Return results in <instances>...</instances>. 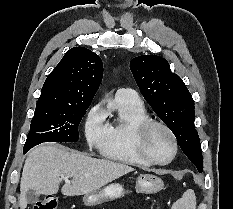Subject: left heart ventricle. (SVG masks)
<instances>
[{"instance_id": "b2bd125f", "label": "left heart ventricle", "mask_w": 233, "mask_h": 209, "mask_svg": "<svg viewBox=\"0 0 233 209\" xmlns=\"http://www.w3.org/2000/svg\"><path fill=\"white\" fill-rule=\"evenodd\" d=\"M146 147L149 154L161 162L167 161L173 153V143L170 136L159 127L151 129Z\"/></svg>"}]
</instances>
